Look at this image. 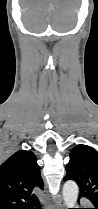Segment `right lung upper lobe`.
Returning <instances> with one entry per match:
<instances>
[{
  "label": "right lung upper lobe",
  "mask_w": 98,
  "mask_h": 209,
  "mask_svg": "<svg viewBox=\"0 0 98 209\" xmlns=\"http://www.w3.org/2000/svg\"><path fill=\"white\" fill-rule=\"evenodd\" d=\"M36 187H44L36 156L17 151L0 166V209H29L38 202Z\"/></svg>",
  "instance_id": "1"
}]
</instances>
